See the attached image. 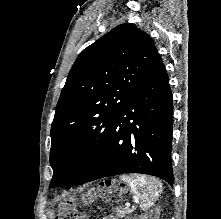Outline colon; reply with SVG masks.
<instances>
[{"label": "colon", "instance_id": "1", "mask_svg": "<svg viewBox=\"0 0 221 219\" xmlns=\"http://www.w3.org/2000/svg\"><path fill=\"white\" fill-rule=\"evenodd\" d=\"M101 191L104 196L110 195V188L108 186H102ZM65 219H86L85 216L79 212L73 211V210H68L65 212Z\"/></svg>", "mask_w": 221, "mask_h": 219}]
</instances>
